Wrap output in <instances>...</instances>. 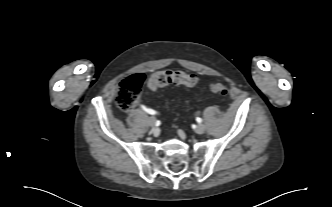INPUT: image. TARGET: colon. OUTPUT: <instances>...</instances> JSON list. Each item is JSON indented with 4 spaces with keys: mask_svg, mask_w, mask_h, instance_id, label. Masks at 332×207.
Listing matches in <instances>:
<instances>
[{
    "mask_svg": "<svg viewBox=\"0 0 332 207\" xmlns=\"http://www.w3.org/2000/svg\"><path fill=\"white\" fill-rule=\"evenodd\" d=\"M145 76L142 73L133 74L125 78L119 85L116 103L122 111L131 110L142 93V86ZM169 85H183L186 87H196L198 78L193 74H188L180 70H163L151 75L148 80L150 90H156ZM210 90L219 95L228 92V86L222 82H215L210 85Z\"/></svg>",
    "mask_w": 332,
    "mask_h": 207,
    "instance_id": "colon-1",
    "label": "colon"
}]
</instances>
